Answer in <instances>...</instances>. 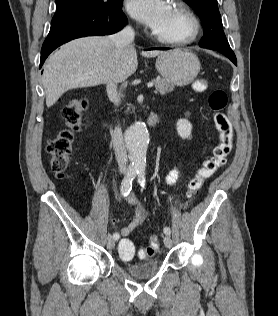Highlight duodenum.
I'll list each match as a JSON object with an SVG mask.
<instances>
[{
    "label": "duodenum",
    "instance_id": "1",
    "mask_svg": "<svg viewBox=\"0 0 278 316\" xmlns=\"http://www.w3.org/2000/svg\"><path fill=\"white\" fill-rule=\"evenodd\" d=\"M159 121V116L158 114L156 113H153L149 116L148 120H147V123L150 125V126H155ZM104 126H108L106 122L103 123Z\"/></svg>",
    "mask_w": 278,
    "mask_h": 316
}]
</instances>
